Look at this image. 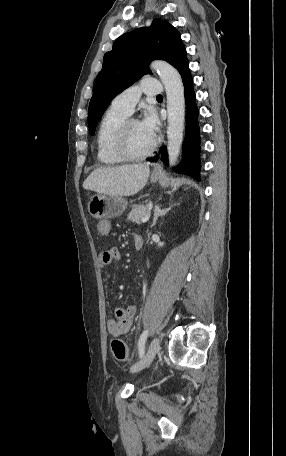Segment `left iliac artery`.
Wrapping results in <instances>:
<instances>
[{
	"mask_svg": "<svg viewBox=\"0 0 286 456\" xmlns=\"http://www.w3.org/2000/svg\"><path fill=\"white\" fill-rule=\"evenodd\" d=\"M148 330H145L140 338H139V342H138V350H139V355L140 357H142L144 355V352H145V341H146V338L148 336Z\"/></svg>",
	"mask_w": 286,
	"mask_h": 456,
	"instance_id": "1",
	"label": "left iliac artery"
}]
</instances>
